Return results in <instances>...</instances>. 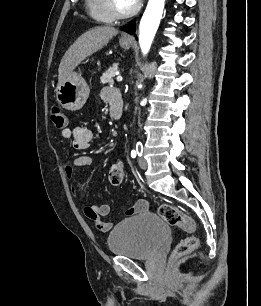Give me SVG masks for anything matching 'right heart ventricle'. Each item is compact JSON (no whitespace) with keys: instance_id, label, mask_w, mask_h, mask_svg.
I'll use <instances>...</instances> for the list:
<instances>
[{"instance_id":"e07e8e85","label":"right heart ventricle","mask_w":261,"mask_h":306,"mask_svg":"<svg viewBox=\"0 0 261 306\" xmlns=\"http://www.w3.org/2000/svg\"><path fill=\"white\" fill-rule=\"evenodd\" d=\"M88 14L97 22L111 23L114 17L110 13L107 0H85Z\"/></svg>"}]
</instances>
